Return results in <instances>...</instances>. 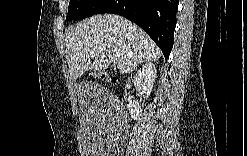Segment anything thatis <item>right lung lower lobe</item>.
<instances>
[{"label": "right lung lower lobe", "mask_w": 247, "mask_h": 156, "mask_svg": "<svg viewBox=\"0 0 247 156\" xmlns=\"http://www.w3.org/2000/svg\"><path fill=\"white\" fill-rule=\"evenodd\" d=\"M177 0H107L96 14L114 13L140 26L167 59L174 43Z\"/></svg>", "instance_id": "98d812e1"}]
</instances>
